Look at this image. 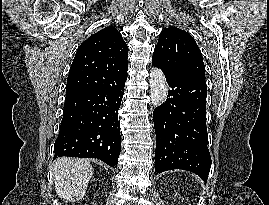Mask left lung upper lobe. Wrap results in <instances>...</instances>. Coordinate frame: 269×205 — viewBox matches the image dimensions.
<instances>
[{
	"label": "left lung upper lobe",
	"mask_w": 269,
	"mask_h": 205,
	"mask_svg": "<svg viewBox=\"0 0 269 205\" xmlns=\"http://www.w3.org/2000/svg\"><path fill=\"white\" fill-rule=\"evenodd\" d=\"M152 61L169 75L205 79L202 53L194 38L176 27L161 32Z\"/></svg>",
	"instance_id": "left-lung-upper-lobe-1"
}]
</instances>
